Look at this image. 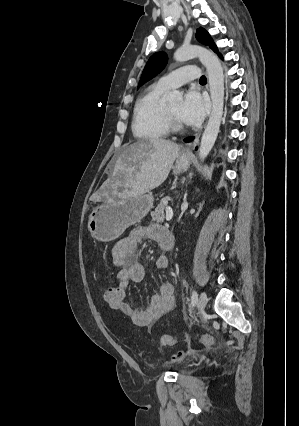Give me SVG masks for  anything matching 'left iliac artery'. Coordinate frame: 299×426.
<instances>
[{"instance_id": "44dca946", "label": "left iliac artery", "mask_w": 299, "mask_h": 426, "mask_svg": "<svg viewBox=\"0 0 299 426\" xmlns=\"http://www.w3.org/2000/svg\"><path fill=\"white\" fill-rule=\"evenodd\" d=\"M197 300H198V295H197L196 291H193L192 292V297H191V305H192V307L195 306Z\"/></svg>"}]
</instances>
